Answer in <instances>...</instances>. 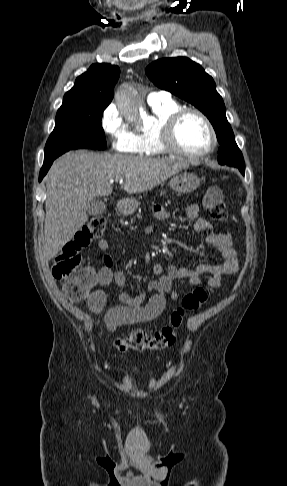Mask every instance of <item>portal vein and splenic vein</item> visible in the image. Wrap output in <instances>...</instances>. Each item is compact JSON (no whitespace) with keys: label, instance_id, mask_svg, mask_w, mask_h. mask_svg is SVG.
<instances>
[{"label":"portal vein and splenic vein","instance_id":"18ae733b","mask_svg":"<svg viewBox=\"0 0 287 486\" xmlns=\"http://www.w3.org/2000/svg\"><path fill=\"white\" fill-rule=\"evenodd\" d=\"M118 181H119V183H120V184H122V183H123V179H120V180H118Z\"/></svg>","mask_w":287,"mask_h":486}]
</instances>
